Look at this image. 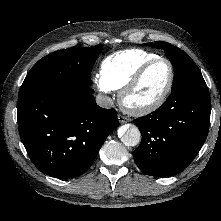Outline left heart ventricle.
Instances as JSON below:
<instances>
[{
  "label": "left heart ventricle",
  "instance_id": "obj_1",
  "mask_svg": "<svg viewBox=\"0 0 221 221\" xmlns=\"http://www.w3.org/2000/svg\"><path fill=\"white\" fill-rule=\"evenodd\" d=\"M169 79V66L165 62L153 65L138 86L128 96L130 105H144L155 100L164 90Z\"/></svg>",
  "mask_w": 221,
  "mask_h": 221
}]
</instances>
